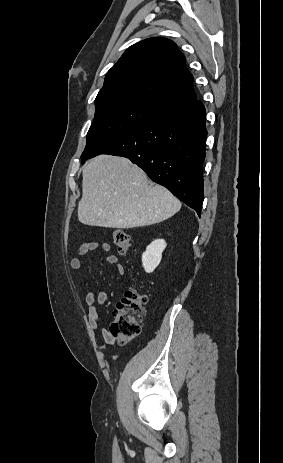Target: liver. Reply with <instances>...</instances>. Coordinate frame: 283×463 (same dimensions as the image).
Instances as JSON below:
<instances>
[{
	"label": "liver",
	"mask_w": 283,
	"mask_h": 463,
	"mask_svg": "<svg viewBox=\"0 0 283 463\" xmlns=\"http://www.w3.org/2000/svg\"><path fill=\"white\" fill-rule=\"evenodd\" d=\"M82 176L78 219L85 225L148 226L167 220L181 208L171 192L151 184L142 169L123 157H95L84 166Z\"/></svg>",
	"instance_id": "obj_1"
}]
</instances>
